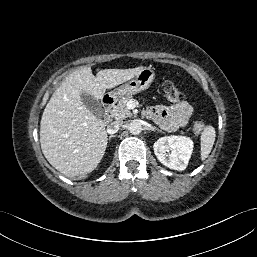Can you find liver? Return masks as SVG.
Instances as JSON below:
<instances>
[{"label": "liver", "instance_id": "obj_1", "mask_svg": "<svg viewBox=\"0 0 257 257\" xmlns=\"http://www.w3.org/2000/svg\"><path fill=\"white\" fill-rule=\"evenodd\" d=\"M142 69H104L94 76L90 67H84L65 78L47 103L40 123L41 149L55 169L76 177L98 166L108 136L104 122L84 106L81 95L102 99L106 89L132 79Z\"/></svg>", "mask_w": 257, "mask_h": 257}]
</instances>
